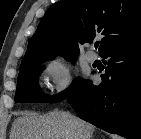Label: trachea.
<instances>
[{
	"label": "trachea",
	"mask_w": 141,
	"mask_h": 139,
	"mask_svg": "<svg viewBox=\"0 0 141 139\" xmlns=\"http://www.w3.org/2000/svg\"><path fill=\"white\" fill-rule=\"evenodd\" d=\"M98 45H99V44H95V48H97V47H98Z\"/></svg>",
	"instance_id": "3493384b"
}]
</instances>
